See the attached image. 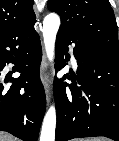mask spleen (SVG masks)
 <instances>
[{
  "label": "spleen",
  "instance_id": "spleen-1",
  "mask_svg": "<svg viewBox=\"0 0 119 141\" xmlns=\"http://www.w3.org/2000/svg\"><path fill=\"white\" fill-rule=\"evenodd\" d=\"M87 141H101V140L98 139V138H95V139H89V140H87Z\"/></svg>",
  "mask_w": 119,
  "mask_h": 141
}]
</instances>
